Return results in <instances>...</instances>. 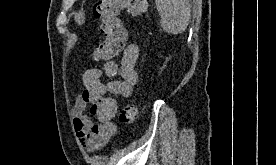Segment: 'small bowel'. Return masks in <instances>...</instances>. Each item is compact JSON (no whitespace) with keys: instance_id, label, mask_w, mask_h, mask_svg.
I'll return each instance as SVG.
<instances>
[{"instance_id":"1","label":"small bowel","mask_w":276,"mask_h":165,"mask_svg":"<svg viewBox=\"0 0 276 165\" xmlns=\"http://www.w3.org/2000/svg\"><path fill=\"white\" fill-rule=\"evenodd\" d=\"M138 57L139 47L132 43L124 49L119 64L106 61L101 67L88 69L83 74V91L77 96L72 113L77 138L87 151L102 148L115 134L113 118L117 104L113 96H132L138 80ZM102 75L107 78L119 76L120 79L103 83ZM89 115L94 116L97 122L94 123Z\"/></svg>"}]
</instances>
